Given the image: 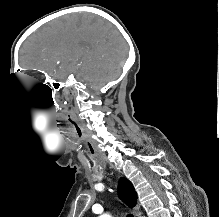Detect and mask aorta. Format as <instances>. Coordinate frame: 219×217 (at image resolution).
<instances>
[{
    "mask_svg": "<svg viewBox=\"0 0 219 217\" xmlns=\"http://www.w3.org/2000/svg\"><path fill=\"white\" fill-rule=\"evenodd\" d=\"M101 217H111L110 215H107V214H105V215H102Z\"/></svg>",
    "mask_w": 219,
    "mask_h": 217,
    "instance_id": "obj_1",
    "label": "aorta"
}]
</instances>
